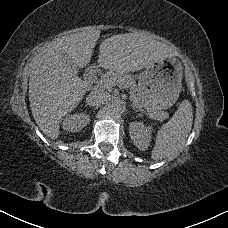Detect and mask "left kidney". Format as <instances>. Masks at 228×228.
<instances>
[{
    "instance_id": "left-kidney-1",
    "label": "left kidney",
    "mask_w": 228,
    "mask_h": 228,
    "mask_svg": "<svg viewBox=\"0 0 228 228\" xmlns=\"http://www.w3.org/2000/svg\"><path fill=\"white\" fill-rule=\"evenodd\" d=\"M130 138L133 144L141 151L146 150L149 145L150 130L143 123H131L129 126Z\"/></svg>"
}]
</instances>
